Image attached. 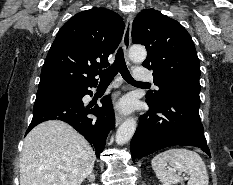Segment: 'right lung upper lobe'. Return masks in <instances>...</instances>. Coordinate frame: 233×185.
Segmentation results:
<instances>
[{
    "instance_id": "cb5924a9",
    "label": "right lung upper lobe",
    "mask_w": 233,
    "mask_h": 185,
    "mask_svg": "<svg viewBox=\"0 0 233 185\" xmlns=\"http://www.w3.org/2000/svg\"><path fill=\"white\" fill-rule=\"evenodd\" d=\"M125 24L105 8L82 11L59 30L44 62L38 91L69 90L97 84L98 69L122 39Z\"/></svg>"
}]
</instances>
